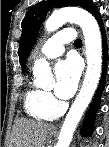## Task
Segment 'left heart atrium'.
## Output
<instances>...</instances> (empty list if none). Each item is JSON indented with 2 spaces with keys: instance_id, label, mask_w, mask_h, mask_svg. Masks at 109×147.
Here are the masks:
<instances>
[{
  "instance_id": "obj_1",
  "label": "left heart atrium",
  "mask_w": 109,
  "mask_h": 147,
  "mask_svg": "<svg viewBox=\"0 0 109 147\" xmlns=\"http://www.w3.org/2000/svg\"><path fill=\"white\" fill-rule=\"evenodd\" d=\"M55 78V95L61 99L72 97L77 89L80 78V65L78 60L73 56H69L59 61L55 66Z\"/></svg>"
}]
</instances>
